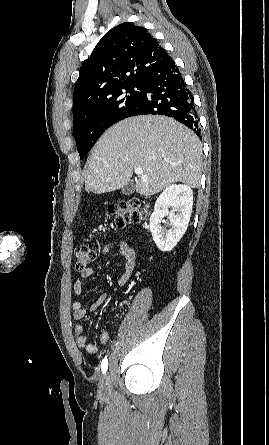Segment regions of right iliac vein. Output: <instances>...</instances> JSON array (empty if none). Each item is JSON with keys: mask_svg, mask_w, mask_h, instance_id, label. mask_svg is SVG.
Segmentation results:
<instances>
[{"mask_svg": "<svg viewBox=\"0 0 269 445\" xmlns=\"http://www.w3.org/2000/svg\"><path fill=\"white\" fill-rule=\"evenodd\" d=\"M99 393L103 398L108 397L110 393V377L108 374L104 375L99 384Z\"/></svg>", "mask_w": 269, "mask_h": 445, "instance_id": "obj_1", "label": "right iliac vein"}]
</instances>
